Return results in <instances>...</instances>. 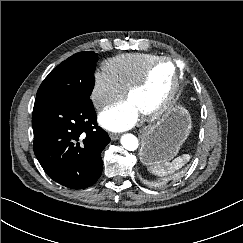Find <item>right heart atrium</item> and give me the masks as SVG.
Returning a JSON list of instances; mask_svg holds the SVG:
<instances>
[{"mask_svg": "<svg viewBox=\"0 0 243 243\" xmlns=\"http://www.w3.org/2000/svg\"><path fill=\"white\" fill-rule=\"evenodd\" d=\"M123 94L124 90L105 69L99 70L94 74L90 97L97 110L108 107L119 100Z\"/></svg>", "mask_w": 243, "mask_h": 243, "instance_id": "d8ad5b80", "label": "right heart atrium"}]
</instances>
